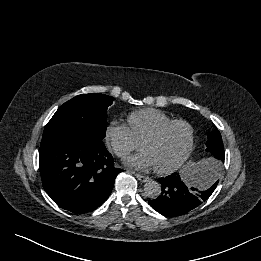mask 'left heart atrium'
I'll return each mask as SVG.
<instances>
[{
  "mask_svg": "<svg viewBox=\"0 0 261 261\" xmlns=\"http://www.w3.org/2000/svg\"><path fill=\"white\" fill-rule=\"evenodd\" d=\"M126 165L136 170H144L154 167L151 156L144 150L136 155L129 157L126 161Z\"/></svg>",
  "mask_w": 261,
  "mask_h": 261,
  "instance_id": "1",
  "label": "left heart atrium"
}]
</instances>
